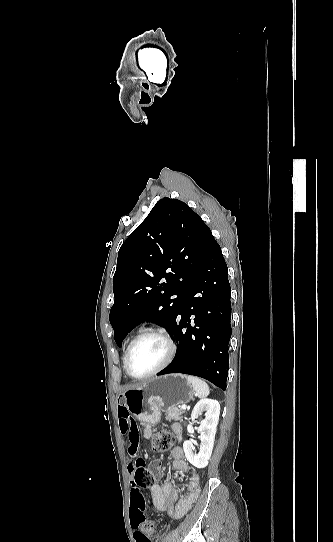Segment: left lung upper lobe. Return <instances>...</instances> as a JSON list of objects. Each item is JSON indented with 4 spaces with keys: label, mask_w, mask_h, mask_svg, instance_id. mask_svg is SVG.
<instances>
[{
    "label": "left lung upper lobe",
    "mask_w": 333,
    "mask_h": 542,
    "mask_svg": "<svg viewBox=\"0 0 333 542\" xmlns=\"http://www.w3.org/2000/svg\"><path fill=\"white\" fill-rule=\"evenodd\" d=\"M213 239L211 230L186 203L167 197L156 203L118 253L109 320L119 347L144 321L173 331L184 294Z\"/></svg>",
    "instance_id": "obj_1"
}]
</instances>
